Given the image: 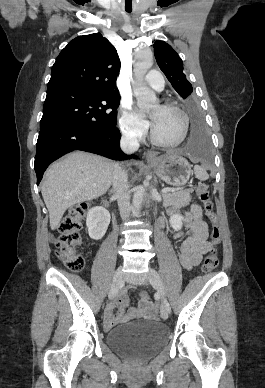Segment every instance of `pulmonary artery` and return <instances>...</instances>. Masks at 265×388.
Wrapping results in <instances>:
<instances>
[{
  "mask_svg": "<svg viewBox=\"0 0 265 388\" xmlns=\"http://www.w3.org/2000/svg\"><path fill=\"white\" fill-rule=\"evenodd\" d=\"M147 74L149 75L147 77V86H154L156 90H161L163 88L164 81L162 79L161 75H153L154 71L152 69H149L147 71Z\"/></svg>",
  "mask_w": 265,
  "mask_h": 388,
  "instance_id": "e3ab8cb5",
  "label": "pulmonary artery"
}]
</instances>
